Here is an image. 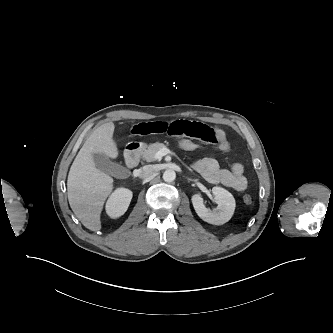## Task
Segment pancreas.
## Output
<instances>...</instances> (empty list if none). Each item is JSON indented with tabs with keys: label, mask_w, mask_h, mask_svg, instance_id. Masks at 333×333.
Returning a JSON list of instances; mask_svg holds the SVG:
<instances>
[{
	"label": "pancreas",
	"mask_w": 333,
	"mask_h": 333,
	"mask_svg": "<svg viewBox=\"0 0 333 333\" xmlns=\"http://www.w3.org/2000/svg\"><path fill=\"white\" fill-rule=\"evenodd\" d=\"M162 148H166V145H164L163 143L156 142V143L150 144L142 150L141 156H142L143 160H145L147 162L161 160V159L156 158L155 154L157 153V151H159Z\"/></svg>",
	"instance_id": "cf45deb5"
}]
</instances>
